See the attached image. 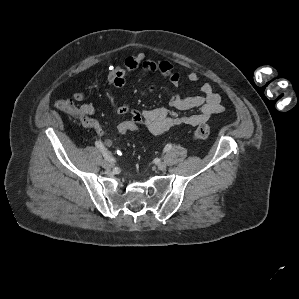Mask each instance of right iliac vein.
<instances>
[{
	"mask_svg": "<svg viewBox=\"0 0 299 299\" xmlns=\"http://www.w3.org/2000/svg\"><path fill=\"white\" fill-rule=\"evenodd\" d=\"M102 166L105 168V169H110L112 167V163L110 161H108L107 159H104L102 161Z\"/></svg>",
	"mask_w": 299,
	"mask_h": 299,
	"instance_id": "1",
	"label": "right iliac vein"
}]
</instances>
